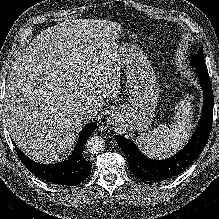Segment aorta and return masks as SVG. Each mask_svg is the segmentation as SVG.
Returning a JSON list of instances; mask_svg holds the SVG:
<instances>
[{
	"label": "aorta",
	"mask_w": 219,
	"mask_h": 219,
	"mask_svg": "<svg viewBox=\"0 0 219 219\" xmlns=\"http://www.w3.org/2000/svg\"><path fill=\"white\" fill-rule=\"evenodd\" d=\"M86 148L91 154H99L105 149V140L100 136L90 137L86 142Z\"/></svg>",
	"instance_id": "1"
}]
</instances>
